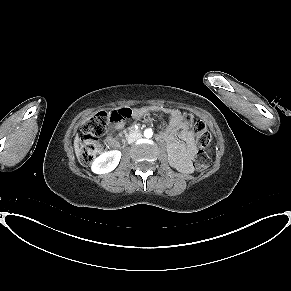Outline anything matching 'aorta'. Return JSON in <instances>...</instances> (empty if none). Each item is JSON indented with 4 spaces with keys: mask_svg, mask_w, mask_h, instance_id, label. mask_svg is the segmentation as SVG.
<instances>
[{
    "mask_svg": "<svg viewBox=\"0 0 291 291\" xmlns=\"http://www.w3.org/2000/svg\"><path fill=\"white\" fill-rule=\"evenodd\" d=\"M153 136V131H152V129H146L145 131H144V137L145 138H151Z\"/></svg>",
    "mask_w": 291,
    "mask_h": 291,
    "instance_id": "762f6f07",
    "label": "aorta"
}]
</instances>
